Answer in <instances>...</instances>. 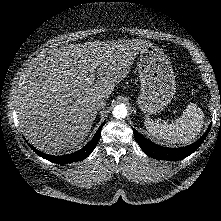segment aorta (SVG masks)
<instances>
[{"instance_id": "aorta-1", "label": "aorta", "mask_w": 221, "mask_h": 221, "mask_svg": "<svg viewBox=\"0 0 221 221\" xmlns=\"http://www.w3.org/2000/svg\"><path fill=\"white\" fill-rule=\"evenodd\" d=\"M113 116L117 119H123L127 116V109L125 105H117L114 107L113 112H112Z\"/></svg>"}]
</instances>
